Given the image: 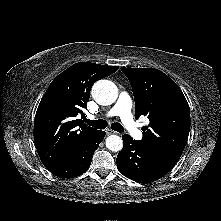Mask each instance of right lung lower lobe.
Segmentation results:
<instances>
[{
    "label": "right lung lower lobe",
    "instance_id": "right-lung-lower-lobe-1",
    "mask_svg": "<svg viewBox=\"0 0 221 221\" xmlns=\"http://www.w3.org/2000/svg\"><path fill=\"white\" fill-rule=\"evenodd\" d=\"M104 136L105 132L98 130L73 155L47 169L59 178H73L81 175L90 167L93 153L102 142Z\"/></svg>",
    "mask_w": 221,
    "mask_h": 221
}]
</instances>
